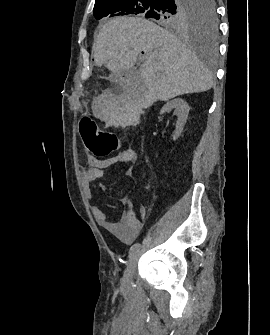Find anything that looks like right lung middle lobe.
<instances>
[{
    "label": "right lung middle lobe",
    "mask_w": 270,
    "mask_h": 335,
    "mask_svg": "<svg viewBox=\"0 0 270 335\" xmlns=\"http://www.w3.org/2000/svg\"><path fill=\"white\" fill-rule=\"evenodd\" d=\"M214 0H97L96 19L143 14L145 18L174 30H197L208 34L211 41L217 33Z\"/></svg>",
    "instance_id": "right-lung-middle-lobe-1"
}]
</instances>
